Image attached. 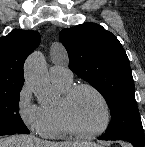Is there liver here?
Here are the masks:
<instances>
[{
	"mask_svg": "<svg viewBox=\"0 0 145 147\" xmlns=\"http://www.w3.org/2000/svg\"><path fill=\"white\" fill-rule=\"evenodd\" d=\"M0 147H98L91 142H50L31 135H14L0 139Z\"/></svg>",
	"mask_w": 145,
	"mask_h": 147,
	"instance_id": "1",
	"label": "liver"
}]
</instances>
